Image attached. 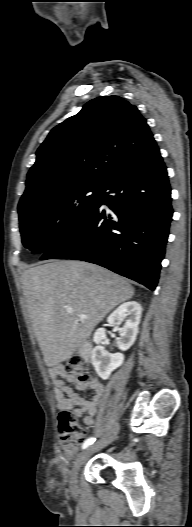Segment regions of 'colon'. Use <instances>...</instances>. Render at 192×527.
<instances>
[{"mask_svg": "<svg viewBox=\"0 0 192 527\" xmlns=\"http://www.w3.org/2000/svg\"><path fill=\"white\" fill-rule=\"evenodd\" d=\"M65 371L81 382L89 381V367L87 361L81 357H74L65 366ZM59 438L68 453H74L86 437V430L80 425L75 415L67 409L59 414Z\"/></svg>", "mask_w": 192, "mask_h": 527, "instance_id": "1", "label": "colon"}]
</instances>
